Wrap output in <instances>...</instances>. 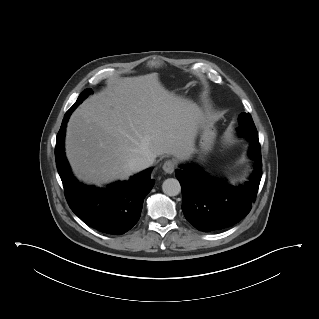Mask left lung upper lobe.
Segmentation results:
<instances>
[{
	"label": "left lung upper lobe",
	"instance_id": "obj_1",
	"mask_svg": "<svg viewBox=\"0 0 319 319\" xmlns=\"http://www.w3.org/2000/svg\"><path fill=\"white\" fill-rule=\"evenodd\" d=\"M239 125L242 127L255 129L254 122L250 114L241 113L238 117Z\"/></svg>",
	"mask_w": 319,
	"mask_h": 319
}]
</instances>
